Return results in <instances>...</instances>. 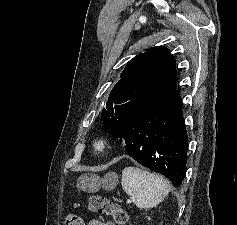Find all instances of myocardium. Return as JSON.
<instances>
[{"mask_svg":"<svg viewBox=\"0 0 237 225\" xmlns=\"http://www.w3.org/2000/svg\"><path fill=\"white\" fill-rule=\"evenodd\" d=\"M108 148V141L104 138H97L92 143V149L96 155H102Z\"/></svg>","mask_w":237,"mask_h":225,"instance_id":"f54148a6","label":"myocardium"}]
</instances>
